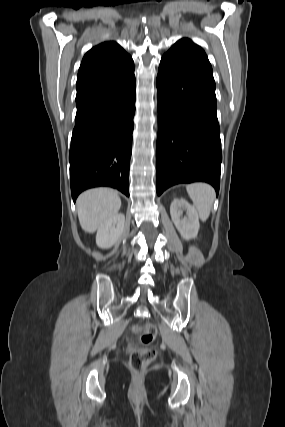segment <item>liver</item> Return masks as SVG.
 Returning <instances> with one entry per match:
<instances>
[{
	"mask_svg": "<svg viewBox=\"0 0 285 427\" xmlns=\"http://www.w3.org/2000/svg\"><path fill=\"white\" fill-rule=\"evenodd\" d=\"M76 205L82 229L94 233L102 223L118 213L121 199L114 190L96 188L83 192Z\"/></svg>",
	"mask_w": 285,
	"mask_h": 427,
	"instance_id": "6515ba94",
	"label": "liver"
}]
</instances>
